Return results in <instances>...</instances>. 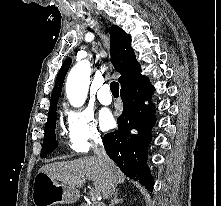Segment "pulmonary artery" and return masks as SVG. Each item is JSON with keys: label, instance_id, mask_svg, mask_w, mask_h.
<instances>
[{"label": "pulmonary artery", "instance_id": "e3ab8cb5", "mask_svg": "<svg viewBox=\"0 0 221 206\" xmlns=\"http://www.w3.org/2000/svg\"><path fill=\"white\" fill-rule=\"evenodd\" d=\"M97 98L100 103L104 105H109L112 102V96L110 93V86L108 84H104L100 87Z\"/></svg>", "mask_w": 221, "mask_h": 206}]
</instances>
